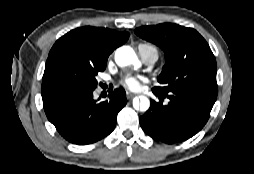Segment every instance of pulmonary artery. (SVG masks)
Here are the masks:
<instances>
[{
	"mask_svg": "<svg viewBox=\"0 0 254 174\" xmlns=\"http://www.w3.org/2000/svg\"><path fill=\"white\" fill-rule=\"evenodd\" d=\"M139 54L147 65L154 64L158 59V52L153 48L139 47Z\"/></svg>",
	"mask_w": 254,
	"mask_h": 174,
	"instance_id": "pulmonary-artery-1",
	"label": "pulmonary artery"
}]
</instances>
